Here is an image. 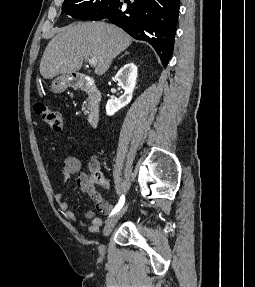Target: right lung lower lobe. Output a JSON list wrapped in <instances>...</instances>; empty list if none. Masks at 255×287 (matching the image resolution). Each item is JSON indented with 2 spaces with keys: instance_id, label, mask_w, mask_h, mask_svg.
I'll use <instances>...</instances> for the list:
<instances>
[{
  "instance_id": "98d812e1",
  "label": "right lung lower lobe",
  "mask_w": 255,
  "mask_h": 287,
  "mask_svg": "<svg viewBox=\"0 0 255 287\" xmlns=\"http://www.w3.org/2000/svg\"><path fill=\"white\" fill-rule=\"evenodd\" d=\"M124 2L104 19L123 28L133 38L149 42L166 67L173 52L180 0Z\"/></svg>"
}]
</instances>
